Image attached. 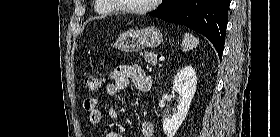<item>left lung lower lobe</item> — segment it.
I'll return each mask as SVG.
<instances>
[{"mask_svg": "<svg viewBox=\"0 0 280 137\" xmlns=\"http://www.w3.org/2000/svg\"><path fill=\"white\" fill-rule=\"evenodd\" d=\"M230 0H166L150 16L187 26L208 38L222 57Z\"/></svg>", "mask_w": 280, "mask_h": 137, "instance_id": "0a47b994", "label": "left lung lower lobe"}]
</instances>
